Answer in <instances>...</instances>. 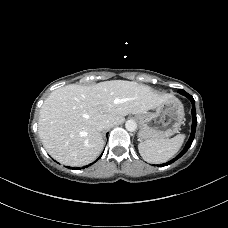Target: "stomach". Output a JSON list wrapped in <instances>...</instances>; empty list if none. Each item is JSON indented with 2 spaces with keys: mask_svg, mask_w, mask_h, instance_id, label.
Listing matches in <instances>:
<instances>
[{
  "mask_svg": "<svg viewBox=\"0 0 228 228\" xmlns=\"http://www.w3.org/2000/svg\"><path fill=\"white\" fill-rule=\"evenodd\" d=\"M153 112L137 114L141 126L139 137L143 140H162L178 132L184 120L181 102L170 96Z\"/></svg>",
  "mask_w": 228,
  "mask_h": 228,
  "instance_id": "0dacf381",
  "label": "stomach"
}]
</instances>
